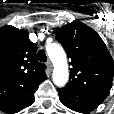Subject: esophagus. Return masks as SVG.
Here are the masks:
<instances>
[{"label":"esophagus","instance_id":"1","mask_svg":"<svg viewBox=\"0 0 114 114\" xmlns=\"http://www.w3.org/2000/svg\"><path fill=\"white\" fill-rule=\"evenodd\" d=\"M46 64H47L48 70L52 71V69H53L52 62L50 60H48Z\"/></svg>","mask_w":114,"mask_h":114}]
</instances>
